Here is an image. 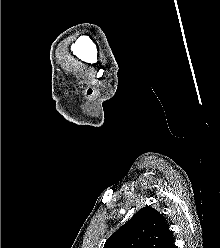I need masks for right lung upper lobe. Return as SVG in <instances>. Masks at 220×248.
Here are the masks:
<instances>
[{
	"mask_svg": "<svg viewBox=\"0 0 220 248\" xmlns=\"http://www.w3.org/2000/svg\"><path fill=\"white\" fill-rule=\"evenodd\" d=\"M172 239L164 216L146 206L113 233L103 248H164Z\"/></svg>",
	"mask_w": 220,
	"mask_h": 248,
	"instance_id": "obj_1",
	"label": "right lung upper lobe"
}]
</instances>
